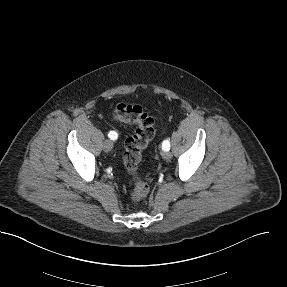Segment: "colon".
I'll return each mask as SVG.
<instances>
[{
    "label": "colon",
    "instance_id": "obj_1",
    "mask_svg": "<svg viewBox=\"0 0 287 287\" xmlns=\"http://www.w3.org/2000/svg\"><path fill=\"white\" fill-rule=\"evenodd\" d=\"M114 117L121 122L134 124L136 130L125 141L123 162L127 172L133 178L132 198L141 200L149 192V186L137 175L142 151L154 136V120L140 106L119 103L114 109Z\"/></svg>",
    "mask_w": 287,
    "mask_h": 287
}]
</instances>
